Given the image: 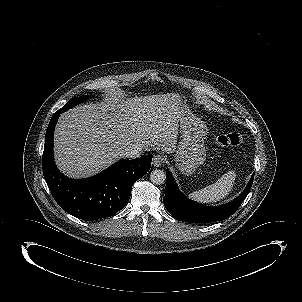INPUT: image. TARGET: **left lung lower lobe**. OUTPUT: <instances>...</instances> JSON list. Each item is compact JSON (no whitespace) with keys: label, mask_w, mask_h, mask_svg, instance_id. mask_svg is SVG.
Instances as JSON below:
<instances>
[{"label":"left lung lower lobe","mask_w":302,"mask_h":302,"mask_svg":"<svg viewBox=\"0 0 302 302\" xmlns=\"http://www.w3.org/2000/svg\"><path fill=\"white\" fill-rule=\"evenodd\" d=\"M254 179L252 175L245 190L233 201L215 207L203 206L194 203L185 197L178 189L176 182L167 170L164 206L167 211L179 221L189 223H210L230 217L241 205L248 195Z\"/></svg>","instance_id":"left-lung-lower-lobe-1"}]
</instances>
